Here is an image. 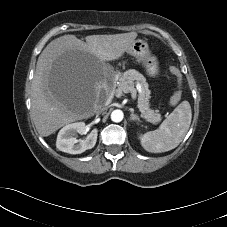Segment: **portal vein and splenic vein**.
Masks as SVG:
<instances>
[{
	"label": "portal vein and splenic vein",
	"mask_w": 227,
	"mask_h": 227,
	"mask_svg": "<svg viewBox=\"0 0 227 227\" xmlns=\"http://www.w3.org/2000/svg\"><path fill=\"white\" fill-rule=\"evenodd\" d=\"M137 89H138L139 91L141 90V85H140V84H138ZM122 91H123L124 93H131L132 99H133V100L136 99V89H135L134 87H124V88L122 89Z\"/></svg>",
	"instance_id": "18ae733b"
}]
</instances>
